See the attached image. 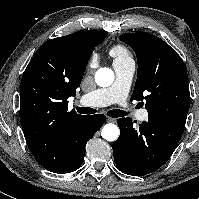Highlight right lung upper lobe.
<instances>
[{"label":"right lung upper lobe","instance_id":"right-lung-upper-lobe-1","mask_svg":"<svg viewBox=\"0 0 199 199\" xmlns=\"http://www.w3.org/2000/svg\"><path fill=\"white\" fill-rule=\"evenodd\" d=\"M107 32L81 30L47 40L36 51L20 84V121L24 135L42 145L59 139L83 115L68 111L87 62Z\"/></svg>","mask_w":199,"mask_h":199}]
</instances>
